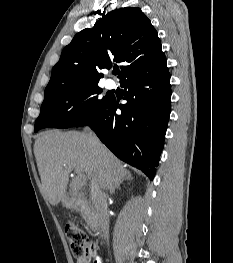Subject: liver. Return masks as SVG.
Segmentation results:
<instances>
[{
  "instance_id": "obj_1",
  "label": "liver",
  "mask_w": 233,
  "mask_h": 263,
  "mask_svg": "<svg viewBox=\"0 0 233 263\" xmlns=\"http://www.w3.org/2000/svg\"><path fill=\"white\" fill-rule=\"evenodd\" d=\"M44 198L57 205L66 195L73 169L86 173L92 184L110 189L130 174L122 162L91 133L47 131L34 144Z\"/></svg>"
}]
</instances>
